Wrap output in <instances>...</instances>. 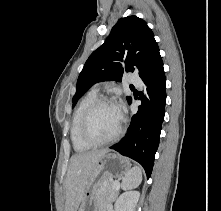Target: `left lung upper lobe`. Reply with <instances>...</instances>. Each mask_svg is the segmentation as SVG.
Listing matches in <instances>:
<instances>
[{"label":"left lung upper lobe","mask_w":221,"mask_h":211,"mask_svg":"<svg viewBox=\"0 0 221 211\" xmlns=\"http://www.w3.org/2000/svg\"><path fill=\"white\" fill-rule=\"evenodd\" d=\"M159 51L152 30L137 16L120 19L98 49L86 61L78 80L76 101L95 83L121 81L124 72L145 71L152 57ZM128 102L131 97H127Z\"/></svg>","instance_id":"left-lung-upper-lobe-1"}]
</instances>
